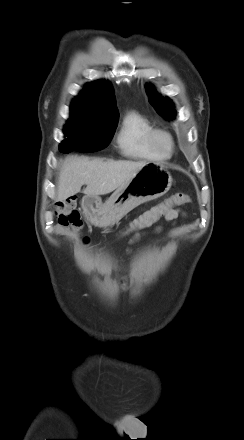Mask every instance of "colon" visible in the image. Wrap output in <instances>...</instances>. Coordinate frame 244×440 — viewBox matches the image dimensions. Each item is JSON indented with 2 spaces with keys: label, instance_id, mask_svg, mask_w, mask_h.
<instances>
[{
  "label": "colon",
  "instance_id": "obj_1",
  "mask_svg": "<svg viewBox=\"0 0 244 440\" xmlns=\"http://www.w3.org/2000/svg\"><path fill=\"white\" fill-rule=\"evenodd\" d=\"M189 202L190 197L187 194L176 193L164 202L150 208L133 219L123 230H121L119 237H125L131 233L147 228L158 221L173 207L187 204ZM56 213L58 221L62 226L73 228L75 230L81 228L82 222L75 198H69L65 201L59 202Z\"/></svg>",
  "mask_w": 244,
  "mask_h": 440
}]
</instances>
